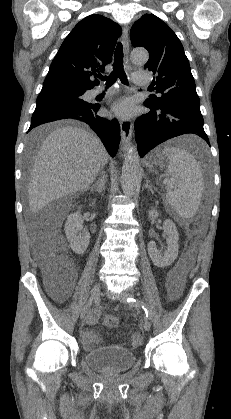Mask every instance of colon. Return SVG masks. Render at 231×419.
<instances>
[{
	"label": "colon",
	"instance_id": "5ec220e1",
	"mask_svg": "<svg viewBox=\"0 0 231 419\" xmlns=\"http://www.w3.org/2000/svg\"><path fill=\"white\" fill-rule=\"evenodd\" d=\"M44 273L51 284L66 282L67 286L73 275V270L69 261L62 256L60 251H56L44 257ZM103 324L108 328L115 329L119 325V320L114 315L106 314L103 317ZM132 343L138 345L139 339L137 337L133 338Z\"/></svg>",
	"mask_w": 231,
	"mask_h": 419
}]
</instances>
